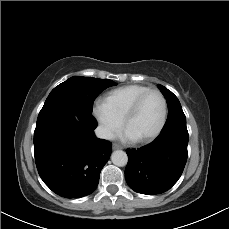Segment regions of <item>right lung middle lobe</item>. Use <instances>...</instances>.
<instances>
[{
    "label": "right lung middle lobe",
    "instance_id": "obj_1",
    "mask_svg": "<svg viewBox=\"0 0 229 229\" xmlns=\"http://www.w3.org/2000/svg\"><path fill=\"white\" fill-rule=\"evenodd\" d=\"M117 83L109 79L74 76L55 87L40 112L71 108L92 113L93 101L106 88Z\"/></svg>",
    "mask_w": 229,
    "mask_h": 229
}]
</instances>
